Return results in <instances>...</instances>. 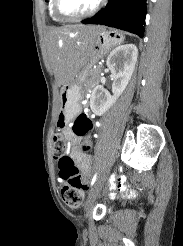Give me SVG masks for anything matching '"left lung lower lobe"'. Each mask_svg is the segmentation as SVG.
<instances>
[{
	"label": "left lung lower lobe",
	"instance_id": "left-lung-lower-lobe-1",
	"mask_svg": "<svg viewBox=\"0 0 183 246\" xmlns=\"http://www.w3.org/2000/svg\"><path fill=\"white\" fill-rule=\"evenodd\" d=\"M146 0H108L104 9L83 24H101L134 33L144 34Z\"/></svg>",
	"mask_w": 183,
	"mask_h": 246
}]
</instances>
